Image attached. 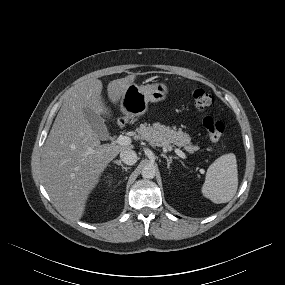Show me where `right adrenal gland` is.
Here are the masks:
<instances>
[{"label":"right adrenal gland","mask_w":285,"mask_h":285,"mask_svg":"<svg viewBox=\"0 0 285 285\" xmlns=\"http://www.w3.org/2000/svg\"><path fill=\"white\" fill-rule=\"evenodd\" d=\"M115 164H117L118 166H121L122 169H124L125 171L129 170L130 167H125L120 160H116L114 161Z\"/></svg>","instance_id":"obj_1"}]
</instances>
